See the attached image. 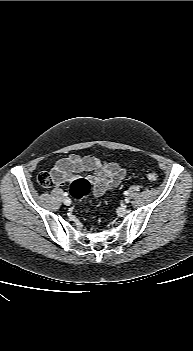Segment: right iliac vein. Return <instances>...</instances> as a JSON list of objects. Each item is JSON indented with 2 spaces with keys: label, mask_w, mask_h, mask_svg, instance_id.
Wrapping results in <instances>:
<instances>
[{
  "label": "right iliac vein",
  "mask_w": 193,
  "mask_h": 351,
  "mask_svg": "<svg viewBox=\"0 0 193 351\" xmlns=\"http://www.w3.org/2000/svg\"><path fill=\"white\" fill-rule=\"evenodd\" d=\"M63 202H64V204L67 205V206H69V205L71 204V200H70V198H68V197L64 198Z\"/></svg>",
  "instance_id": "obj_1"
}]
</instances>
